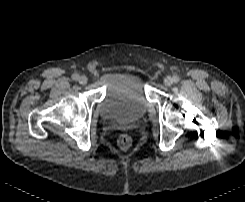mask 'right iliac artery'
I'll list each match as a JSON object with an SVG mask.
<instances>
[{"mask_svg":"<svg viewBox=\"0 0 245 202\" xmlns=\"http://www.w3.org/2000/svg\"><path fill=\"white\" fill-rule=\"evenodd\" d=\"M72 79L77 81L79 79V75L77 73L73 74Z\"/></svg>","mask_w":245,"mask_h":202,"instance_id":"82829eb1","label":"right iliac artery"}]
</instances>
